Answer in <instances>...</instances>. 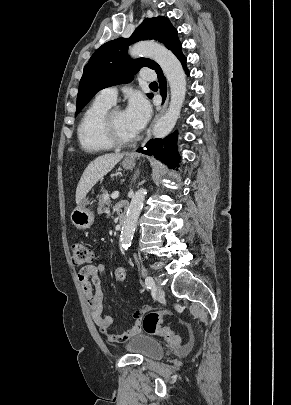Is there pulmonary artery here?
Instances as JSON below:
<instances>
[{"mask_svg": "<svg viewBox=\"0 0 291 405\" xmlns=\"http://www.w3.org/2000/svg\"><path fill=\"white\" fill-rule=\"evenodd\" d=\"M156 73L155 71L151 70V69H143L141 72V78L144 81H154L156 79ZM116 97H117V88L116 87H107L103 90H101L98 95L97 98H99L102 101H105L107 103L110 104H114L116 101Z\"/></svg>", "mask_w": 291, "mask_h": 405, "instance_id": "1", "label": "pulmonary artery"}]
</instances>
